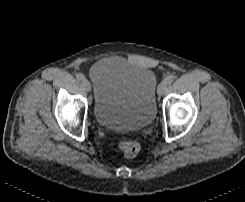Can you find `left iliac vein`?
I'll list each match as a JSON object with an SVG mask.
<instances>
[{"mask_svg": "<svg viewBox=\"0 0 245 202\" xmlns=\"http://www.w3.org/2000/svg\"><path fill=\"white\" fill-rule=\"evenodd\" d=\"M167 89V84L165 82H161L158 86L157 93L159 96H162Z\"/></svg>", "mask_w": 245, "mask_h": 202, "instance_id": "4c4485c4", "label": "left iliac vein"}]
</instances>
